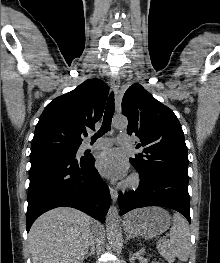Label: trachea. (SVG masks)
I'll return each instance as SVG.
<instances>
[{
  "instance_id": "1",
  "label": "trachea",
  "mask_w": 220,
  "mask_h": 263,
  "mask_svg": "<svg viewBox=\"0 0 220 263\" xmlns=\"http://www.w3.org/2000/svg\"><path fill=\"white\" fill-rule=\"evenodd\" d=\"M114 110H115L114 94L112 92L106 104L102 126L98 131V133L95 134L94 137H92V141H95L96 138L104 135L106 132H108L111 129V122H112V117L114 115Z\"/></svg>"
}]
</instances>
